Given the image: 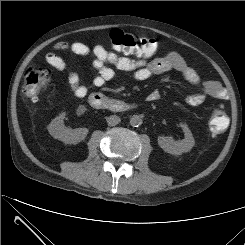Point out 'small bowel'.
<instances>
[{"mask_svg":"<svg viewBox=\"0 0 245 245\" xmlns=\"http://www.w3.org/2000/svg\"><path fill=\"white\" fill-rule=\"evenodd\" d=\"M53 48L55 51L92 58V65L96 69L97 75L89 83L83 84L79 75L69 69L66 59L53 52L48 53L45 57L51 67L66 76L71 93L78 98L86 97L92 88H100L105 85L114 77L115 69L128 73L130 78L136 82H144L155 75L176 71L196 88L195 92L185 98L186 103L190 106H199L208 99L223 100L226 98V92L219 83L202 81L196 70L176 52H166L154 60L147 61L119 56L102 45L90 47L81 42H58ZM157 97V94L153 92L149 95V100H156Z\"/></svg>","mask_w":245,"mask_h":245,"instance_id":"1","label":"small bowel"}]
</instances>
